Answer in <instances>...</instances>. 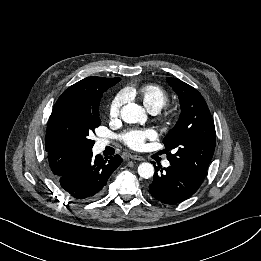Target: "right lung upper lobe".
I'll return each mask as SVG.
<instances>
[{"mask_svg": "<svg viewBox=\"0 0 261 261\" xmlns=\"http://www.w3.org/2000/svg\"><path fill=\"white\" fill-rule=\"evenodd\" d=\"M118 79L120 78L87 77L70 86L60 97L63 98L67 95L82 97L93 94H103L107 89L115 85ZM46 151L48 153L50 168L56 177L64 174L71 166L88 153L86 151L59 147H46Z\"/></svg>", "mask_w": 261, "mask_h": 261, "instance_id": "right-lung-upper-lobe-1", "label": "right lung upper lobe"}]
</instances>
